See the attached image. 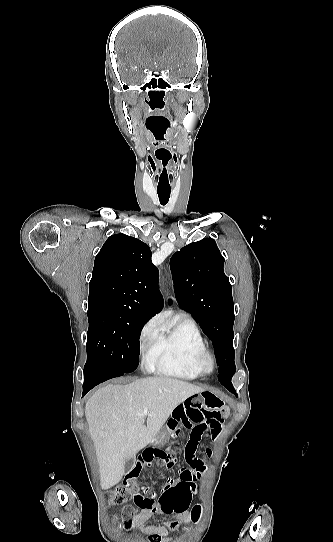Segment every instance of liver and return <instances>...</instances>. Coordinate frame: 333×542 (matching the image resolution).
Segmentation results:
<instances>
[{"label":"liver","instance_id":"liver-1","mask_svg":"<svg viewBox=\"0 0 333 542\" xmlns=\"http://www.w3.org/2000/svg\"><path fill=\"white\" fill-rule=\"evenodd\" d=\"M200 392L204 388L172 376L141 378L127 386L109 384L97 390L86 404L85 416L102 490L119 484L126 462L154 440L174 408ZM145 408L148 414H143Z\"/></svg>","mask_w":333,"mask_h":542}]
</instances>
